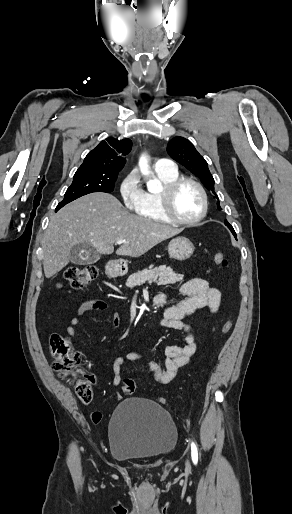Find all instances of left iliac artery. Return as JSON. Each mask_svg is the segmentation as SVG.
Instances as JSON below:
<instances>
[{
	"label": "left iliac artery",
	"mask_w": 292,
	"mask_h": 514,
	"mask_svg": "<svg viewBox=\"0 0 292 514\" xmlns=\"http://www.w3.org/2000/svg\"><path fill=\"white\" fill-rule=\"evenodd\" d=\"M191 456L194 464L198 462V451L194 442H191Z\"/></svg>",
	"instance_id": "1"
}]
</instances>
